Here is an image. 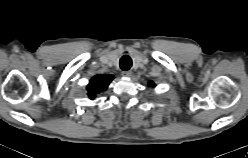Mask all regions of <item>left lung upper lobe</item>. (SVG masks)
Masks as SVG:
<instances>
[{"label": "left lung upper lobe", "mask_w": 248, "mask_h": 158, "mask_svg": "<svg viewBox=\"0 0 248 158\" xmlns=\"http://www.w3.org/2000/svg\"><path fill=\"white\" fill-rule=\"evenodd\" d=\"M154 83L152 81L149 82V86H153Z\"/></svg>", "instance_id": "5c2ea615"}]
</instances>
